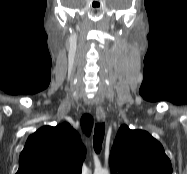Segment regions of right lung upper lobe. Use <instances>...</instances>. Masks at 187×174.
<instances>
[{
  "label": "right lung upper lobe",
  "instance_id": "cb5924a9",
  "mask_svg": "<svg viewBox=\"0 0 187 174\" xmlns=\"http://www.w3.org/2000/svg\"><path fill=\"white\" fill-rule=\"evenodd\" d=\"M92 123L83 128L90 135ZM86 149L68 123L45 126L32 134L19 157L16 174H81Z\"/></svg>",
  "mask_w": 187,
  "mask_h": 174
}]
</instances>
